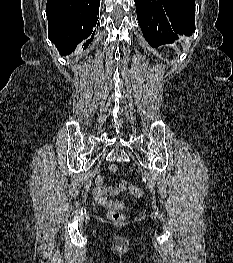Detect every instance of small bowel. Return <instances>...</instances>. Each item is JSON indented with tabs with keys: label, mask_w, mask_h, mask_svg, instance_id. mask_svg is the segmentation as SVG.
Masks as SVG:
<instances>
[{
	"label": "small bowel",
	"mask_w": 233,
	"mask_h": 263,
	"mask_svg": "<svg viewBox=\"0 0 233 263\" xmlns=\"http://www.w3.org/2000/svg\"><path fill=\"white\" fill-rule=\"evenodd\" d=\"M104 181L105 178L103 176H98L95 180L96 187L93 191L95 201L106 209H123L125 206L124 202L113 198L119 192L117 187H107L104 185Z\"/></svg>",
	"instance_id": "1"
}]
</instances>
